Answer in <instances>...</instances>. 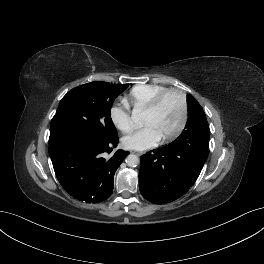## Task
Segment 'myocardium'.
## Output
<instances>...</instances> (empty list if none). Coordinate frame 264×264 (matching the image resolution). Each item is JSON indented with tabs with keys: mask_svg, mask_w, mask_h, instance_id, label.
Instances as JSON below:
<instances>
[{
	"mask_svg": "<svg viewBox=\"0 0 264 264\" xmlns=\"http://www.w3.org/2000/svg\"><path fill=\"white\" fill-rule=\"evenodd\" d=\"M169 94H176L179 99H180V104H181V119L176 127L175 130H173L171 133H169L166 136H163L161 140L163 142H168L176 137H178L181 132L184 130L187 119H188V103H187V98L186 95L179 89L176 88H168L159 94H157L152 101L145 107L144 112H153L155 111L159 105L162 103V101L169 95Z\"/></svg>",
	"mask_w": 264,
	"mask_h": 264,
	"instance_id": "obj_1",
	"label": "myocardium"
}]
</instances>
